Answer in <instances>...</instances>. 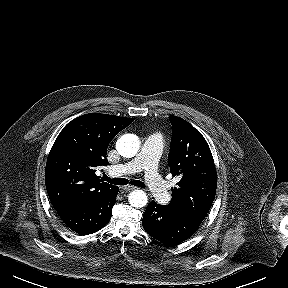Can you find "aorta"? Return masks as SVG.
<instances>
[{
  "label": "aorta",
  "instance_id": "762f6f07",
  "mask_svg": "<svg viewBox=\"0 0 288 288\" xmlns=\"http://www.w3.org/2000/svg\"><path fill=\"white\" fill-rule=\"evenodd\" d=\"M140 148L139 138L134 134H125L121 136L117 143L116 149L119 154L126 158L134 157ZM128 201L131 206L135 208H142L146 206L148 197L143 190H134L130 192Z\"/></svg>",
  "mask_w": 288,
  "mask_h": 288
}]
</instances>
